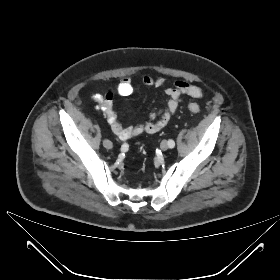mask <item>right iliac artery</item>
I'll return each mask as SVG.
<instances>
[{
  "label": "right iliac artery",
  "instance_id": "82829eb1",
  "mask_svg": "<svg viewBox=\"0 0 280 280\" xmlns=\"http://www.w3.org/2000/svg\"><path fill=\"white\" fill-rule=\"evenodd\" d=\"M125 148H126V146H125V145H123V146H122V149H125Z\"/></svg>",
  "mask_w": 280,
  "mask_h": 280
}]
</instances>
